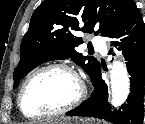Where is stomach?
<instances>
[{"label": "stomach", "mask_w": 145, "mask_h": 124, "mask_svg": "<svg viewBox=\"0 0 145 124\" xmlns=\"http://www.w3.org/2000/svg\"><path fill=\"white\" fill-rule=\"evenodd\" d=\"M42 124H101V123H96L94 120H83V119H80V120H77V119H69V118H64V117H61V118H56V119H51V120H48Z\"/></svg>", "instance_id": "obj_1"}]
</instances>
